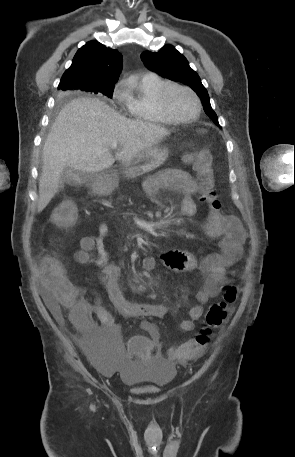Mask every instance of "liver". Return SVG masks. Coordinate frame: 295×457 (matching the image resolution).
Returning <instances> with one entry per match:
<instances>
[{"label": "liver", "instance_id": "1", "mask_svg": "<svg viewBox=\"0 0 295 457\" xmlns=\"http://www.w3.org/2000/svg\"><path fill=\"white\" fill-rule=\"evenodd\" d=\"M169 134L160 125L127 119L95 98L70 101L58 114L43 147L38 212L57 193L65 167L97 173L110 168L115 160L133 158ZM113 141L121 146L115 156L110 151Z\"/></svg>", "mask_w": 295, "mask_h": 457}]
</instances>
